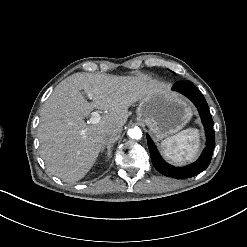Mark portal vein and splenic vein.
Here are the masks:
<instances>
[{"mask_svg": "<svg viewBox=\"0 0 247 247\" xmlns=\"http://www.w3.org/2000/svg\"><path fill=\"white\" fill-rule=\"evenodd\" d=\"M101 119H102V117H101L100 113L98 111H94L91 114L90 123L97 124L98 122L101 121Z\"/></svg>", "mask_w": 247, "mask_h": 247, "instance_id": "obj_1", "label": "portal vein and splenic vein"}]
</instances>
